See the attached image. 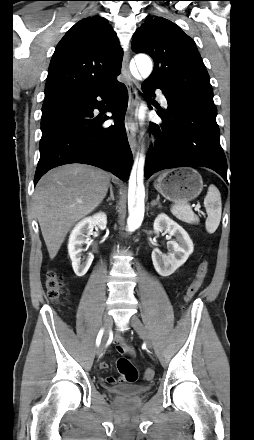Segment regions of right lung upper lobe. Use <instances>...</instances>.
Wrapping results in <instances>:
<instances>
[{"instance_id":"obj_1","label":"right lung upper lobe","mask_w":254,"mask_h":440,"mask_svg":"<svg viewBox=\"0 0 254 440\" xmlns=\"http://www.w3.org/2000/svg\"><path fill=\"white\" fill-rule=\"evenodd\" d=\"M123 52L117 35L100 16L77 22L58 43L52 56L45 99L85 88L113 87L120 82Z\"/></svg>"}]
</instances>
